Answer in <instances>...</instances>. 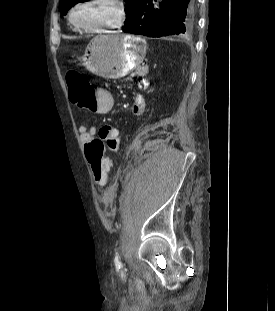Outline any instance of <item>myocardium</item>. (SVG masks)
<instances>
[{"mask_svg": "<svg viewBox=\"0 0 275 311\" xmlns=\"http://www.w3.org/2000/svg\"><path fill=\"white\" fill-rule=\"evenodd\" d=\"M105 3L110 5L115 12V18L111 22H106L98 25H81L74 21V13L91 3ZM127 10L123 0H80L75 3L67 13V20L70 26L74 29L84 32H102L108 30L120 29L126 22Z\"/></svg>", "mask_w": 275, "mask_h": 311, "instance_id": "f54148a6", "label": "myocardium"}]
</instances>
